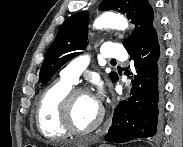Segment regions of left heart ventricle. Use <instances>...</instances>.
<instances>
[{"instance_id":"obj_1","label":"left heart ventricle","mask_w":183,"mask_h":147,"mask_svg":"<svg viewBox=\"0 0 183 147\" xmlns=\"http://www.w3.org/2000/svg\"><path fill=\"white\" fill-rule=\"evenodd\" d=\"M99 114V104L91 95L78 96L72 106V118L74 125L79 129L90 127Z\"/></svg>"}]
</instances>
